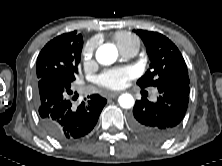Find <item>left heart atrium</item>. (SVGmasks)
I'll list each match as a JSON object with an SVG mask.
<instances>
[{
    "label": "left heart atrium",
    "mask_w": 222,
    "mask_h": 166,
    "mask_svg": "<svg viewBox=\"0 0 222 166\" xmlns=\"http://www.w3.org/2000/svg\"><path fill=\"white\" fill-rule=\"evenodd\" d=\"M134 77V71L129 68H117L111 69L102 73L97 78V83L108 89H121L130 79Z\"/></svg>",
    "instance_id": "1"
}]
</instances>
